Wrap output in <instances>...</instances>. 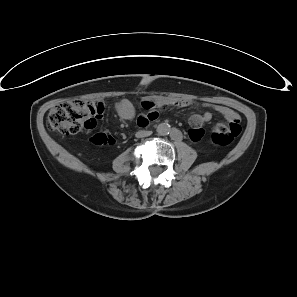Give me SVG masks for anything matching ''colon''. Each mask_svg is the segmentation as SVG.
<instances>
[{
	"instance_id": "colon-1",
	"label": "colon",
	"mask_w": 297,
	"mask_h": 297,
	"mask_svg": "<svg viewBox=\"0 0 297 297\" xmlns=\"http://www.w3.org/2000/svg\"><path fill=\"white\" fill-rule=\"evenodd\" d=\"M105 105L96 100H72L59 104L48 114L47 125L52 131L62 134H76L82 130H92L101 119ZM241 132V120L237 116L231 120L216 123L211 131L215 144H230ZM96 145L112 144L113 138L107 133H96L91 137Z\"/></svg>"
}]
</instances>
